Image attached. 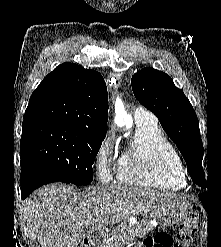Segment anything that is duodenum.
Instances as JSON below:
<instances>
[{"mask_svg":"<svg viewBox=\"0 0 221 247\" xmlns=\"http://www.w3.org/2000/svg\"><path fill=\"white\" fill-rule=\"evenodd\" d=\"M88 241L89 243H91L92 245L98 247L100 245V233L98 231H92L91 233H89L88 235Z\"/></svg>","mask_w":221,"mask_h":247,"instance_id":"duodenum-1","label":"duodenum"}]
</instances>
